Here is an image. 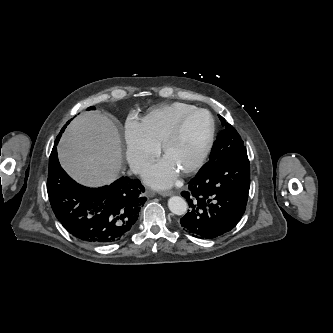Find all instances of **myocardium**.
Segmentation results:
<instances>
[{
    "label": "myocardium",
    "mask_w": 333,
    "mask_h": 333,
    "mask_svg": "<svg viewBox=\"0 0 333 333\" xmlns=\"http://www.w3.org/2000/svg\"><path fill=\"white\" fill-rule=\"evenodd\" d=\"M197 113H206L208 115V117L210 119V128H209L208 134L206 136L205 142L203 144V147H202L199 155L195 159V161L192 164H190L189 166H187L186 168L179 171V173L182 175H188V174H191V173L195 172L196 170H198L204 164V162L206 161V159L211 151V148H212L213 142H214L215 132H216V123H215V119H214L212 113L205 108H198V107L184 113L175 123V125L170 130L168 135L165 137V139L161 145L162 154H163V157H165L168 150L171 148V146L173 144H175L178 141V139L180 138L186 121L191 116H193L194 114H197Z\"/></svg>",
    "instance_id": "myocardium-1"
}]
</instances>
